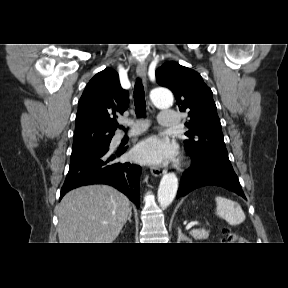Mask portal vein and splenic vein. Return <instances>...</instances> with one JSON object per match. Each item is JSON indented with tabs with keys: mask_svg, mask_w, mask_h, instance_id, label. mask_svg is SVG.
<instances>
[{
	"mask_svg": "<svg viewBox=\"0 0 288 288\" xmlns=\"http://www.w3.org/2000/svg\"><path fill=\"white\" fill-rule=\"evenodd\" d=\"M196 225H198L197 222H191V223H189V224L186 226V229L189 230V229H191L192 227H194V226H196Z\"/></svg>",
	"mask_w": 288,
	"mask_h": 288,
	"instance_id": "obj_1",
	"label": "portal vein and splenic vein"
}]
</instances>
